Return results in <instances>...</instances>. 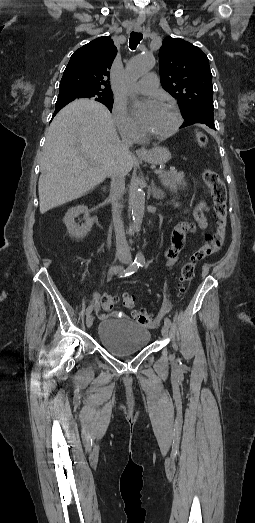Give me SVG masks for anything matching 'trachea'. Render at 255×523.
<instances>
[{
    "instance_id": "trachea-1",
    "label": "trachea",
    "mask_w": 255,
    "mask_h": 523,
    "mask_svg": "<svg viewBox=\"0 0 255 523\" xmlns=\"http://www.w3.org/2000/svg\"><path fill=\"white\" fill-rule=\"evenodd\" d=\"M143 35L139 32H131L130 33V39H129V47L131 50H135L137 45H139L140 41L142 40Z\"/></svg>"
}]
</instances>
